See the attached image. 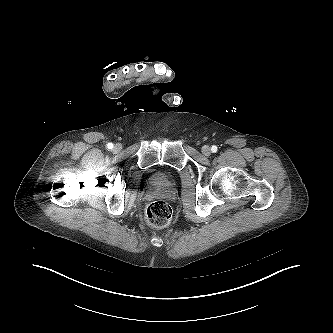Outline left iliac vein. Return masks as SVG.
Masks as SVG:
<instances>
[{
    "instance_id": "1",
    "label": "left iliac vein",
    "mask_w": 333,
    "mask_h": 333,
    "mask_svg": "<svg viewBox=\"0 0 333 333\" xmlns=\"http://www.w3.org/2000/svg\"><path fill=\"white\" fill-rule=\"evenodd\" d=\"M202 153H203L205 156H210V154H211V149H210V147L207 146V145H204V146L202 147Z\"/></svg>"
}]
</instances>
